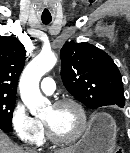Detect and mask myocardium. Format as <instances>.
Here are the masks:
<instances>
[{"label":"myocardium","mask_w":130,"mask_h":153,"mask_svg":"<svg viewBox=\"0 0 130 153\" xmlns=\"http://www.w3.org/2000/svg\"><path fill=\"white\" fill-rule=\"evenodd\" d=\"M63 105L73 106L78 111L79 116H80L79 129L72 137H60L54 132V130L52 129V127L47 121L43 120V124L45 126L47 135L51 141H53L56 144H60V145H68V144H73L77 142L83 137L88 127V116H87L84 106L79 101L73 98H61V99L56 100L52 104V106L54 107H60Z\"/></svg>","instance_id":"1"}]
</instances>
